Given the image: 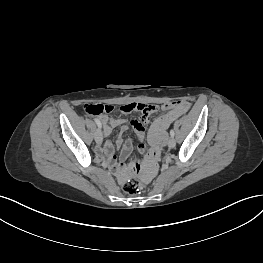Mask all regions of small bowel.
Wrapping results in <instances>:
<instances>
[{"label":"small bowel","mask_w":263,"mask_h":263,"mask_svg":"<svg viewBox=\"0 0 263 263\" xmlns=\"http://www.w3.org/2000/svg\"><path fill=\"white\" fill-rule=\"evenodd\" d=\"M181 114L182 113L177 110L176 104L171 102L166 103V106H163V108H159V118L154 119L153 125L149 128V143L151 147L147 150V156L143 159L144 176H153L155 168L157 164L160 163L163 154L164 131L167 130L168 126ZM151 115H141L139 119L127 121L122 118H111L106 114H102L98 120L103 125L105 136L110 135L114 128L118 127L121 132H124L131 126L138 137L137 149L142 152L145 150V131L147 124L150 122ZM115 147H122L120 162L116 166V172L120 179H124L128 174L124 161L132 151V142L130 140L123 142L122 137L119 136L115 145L110 141H106L99 148V154L107 161H113L116 158L114 155ZM132 170L135 175L142 173L141 162L139 160L132 162Z\"/></svg>","instance_id":"1"}]
</instances>
